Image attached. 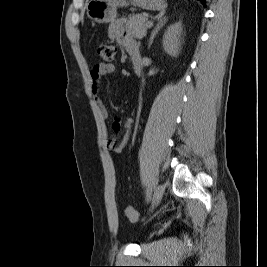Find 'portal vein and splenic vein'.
<instances>
[{
  "instance_id": "1",
  "label": "portal vein and splenic vein",
  "mask_w": 267,
  "mask_h": 267,
  "mask_svg": "<svg viewBox=\"0 0 267 267\" xmlns=\"http://www.w3.org/2000/svg\"><path fill=\"white\" fill-rule=\"evenodd\" d=\"M153 24H154L153 21H148L146 26H147V28H151L153 26Z\"/></svg>"
}]
</instances>
